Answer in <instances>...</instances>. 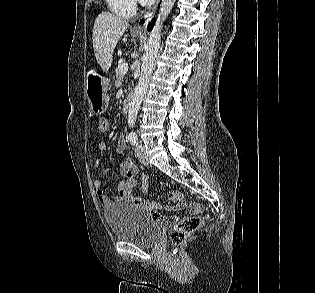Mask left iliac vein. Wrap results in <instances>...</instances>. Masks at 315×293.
Returning a JSON list of instances; mask_svg holds the SVG:
<instances>
[{"instance_id": "4c4485c4", "label": "left iliac vein", "mask_w": 315, "mask_h": 293, "mask_svg": "<svg viewBox=\"0 0 315 293\" xmlns=\"http://www.w3.org/2000/svg\"><path fill=\"white\" fill-rule=\"evenodd\" d=\"M136 155H137V158L138 160L144 164V165H149V161L145 155V147L143 144H139L137 147H136Z\"/></svg>"}]
</instances>
